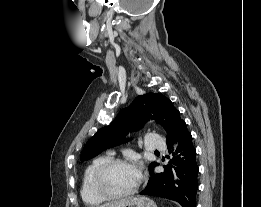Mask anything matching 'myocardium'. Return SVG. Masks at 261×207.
<instances>
[{
    "instance_id": "obj_1",
    "label": "myocardium",
    "mask_w": 261,
    "mask_h": 207,
    "mask_svg": "<svg viewBox=\"0 0 261 207\" xmlns=\"http://www.w3.org/2000/svg\"><path fill=\"white\" fill-rule=\"evenodd\" d=\"M118 165H132V162L123 158H112L102 164L94 175V188L96 192L105 200H118L133 195L139 188L141 183V176L138 174L136 184L128 191L123 193H113L106 186V176L108 172Z\"/></svg>"
}]
</instances>
